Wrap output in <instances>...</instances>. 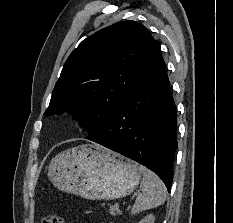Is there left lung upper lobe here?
Instances as JSON below:
<instances>
[{"mask_svg":"<svg viewBox=\"0 0 233 223\" xmlns=\"http://www.w3.org/2000/svg\"><path fill=\"white\" fill-rule=\"evenodd\" d=\"M159 50L135 21L99 30L68 57L44 115L72 114L91 139L134 92Z\"/></svg>","mask_w":233,"mask_h":223,"instance_id":"5c2ea615","label":"left lung upper lobe"}]
</instances>
